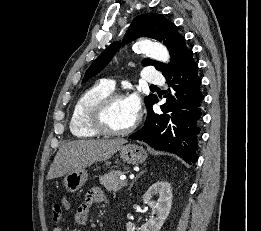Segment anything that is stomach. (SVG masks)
Returning a JSON list of instances; mask_svg holds the SVG:
<instances>
[{"mask_svg": "<svg viewBox=\"0 0 261 231\" xmlns=\"http://www.w3.org/2000/svg\"><path fill=\"white\" fill-rule=\"evenodd\" d=\"M120 158L131 165L143 163L147 158L146 151L138 145L127 144L119 148ZM88 179V173L85 169L70 172L66 174L63 183L66 190L70 193L78 191Z\"/></svg>", "mask_w": 261, "mask_h": 231, "instance_id": "stomach-1", "label": "stomach"}]
</instances>
